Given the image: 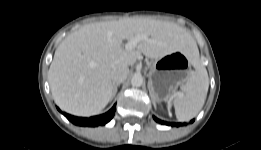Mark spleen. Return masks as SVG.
<instances>
[{
	"mask_svg": "<svg viewBox=\"0 0 261 150\" xmlns=\"http://www.w3.org/2000/svg\"><path fill=\"white\" fill-rule=\"evenodd\" d=\"M191 63L195 67L181 86L173 105L176 118L187 121L195 117L202 109L209 88V78L206 68L200 63L197 46L191 49Z\"/></svg>",
	"mask_w": 261,
	"mask_h": 150,
	"instance_id": "obj_1",
	"label": "spleen"
}]
</instances>
